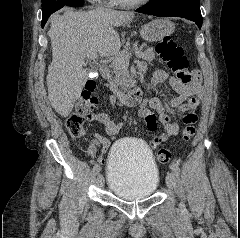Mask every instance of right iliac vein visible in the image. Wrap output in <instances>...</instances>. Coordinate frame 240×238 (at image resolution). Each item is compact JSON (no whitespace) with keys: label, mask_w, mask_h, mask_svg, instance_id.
Masks as SVG:
<instances>
[{"label":"right iliac vein","mask_w":240,"mask_h":238,"mask_svg":"<svg viewBox=\"0 0 240 238\" xmlns=\"http://www.w3.org/2000/svg\"><path fill=\"white\" fill-rule=\"evenodd\" d=\"M96 183L100 188L104 186L105 180L102 174L97 175Z\"/></svg>","instance_id":"obj_1"}]
</instances>
